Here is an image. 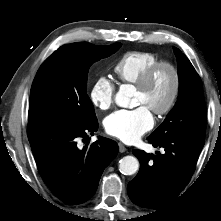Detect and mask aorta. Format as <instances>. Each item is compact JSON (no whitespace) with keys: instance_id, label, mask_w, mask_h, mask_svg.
Masks as SVG:
<instances>
[{"instance_id":"762f6f07","label":"aorta","mask_w":221,"mask_h":221,"mask_svg":"<svg viewBox=\"0 0 221 221\" xmlns=\"http://www.w3.org/2000/svg\"><path fill=\"white\" fill-rule=\"evenodd\" d=\"M131 91L127 86H122L115 96V102L120 107H128ZM139 169V161L134 156H125L119 161V170L124 175H133Z\"/></svg>"}]
</instances>
